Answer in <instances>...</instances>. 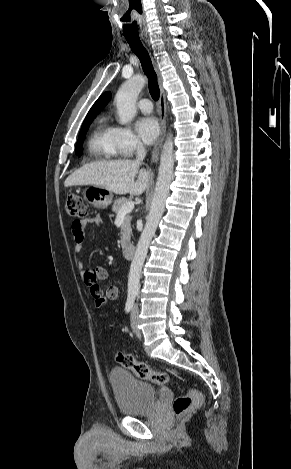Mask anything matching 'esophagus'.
Listing matches in <instances>:
<instances>
[{
	"label": "esophagus",
	"instance_id": "esophagus-1",
	"mask_svg": "<svg viewBox=\"0 0 291 469\" xmlns=\"http://www.w3.org/2000/svg\"><path fill=\"white\" fill-rule=\"evenodd\" d=\"M143 42L145 46L148 48V50H151L150 42L148 39L143 38ZM152 62L153 66L155 69V72L158 77V83H159V88H160V97H159V118H160V136L157 142L155 143L152 153H151V163H156L160 150L164 141L165 133H166V98H165V90L163 87V79L160 73V70L158 68V65L156 63L155 58L152 56Z\"/></svg>",
	"mask_w": 291,
	"mask_h": 469
}]
</instances>
